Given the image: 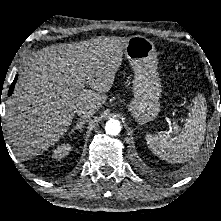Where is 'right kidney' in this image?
Masks as SVG:
<instances>
[{
	"instance_id": "right-kidney-1",
	"label": "right kidney",
	"mask_w": 221,
	"mask_h": 221,
	"mask_svg": "<svg viewBox=\"0 0 221 221\" xmlns=\"http://www.w3.org/2000/svg\"><path fill=\"white\" fill-rule=\"evenodd\" d=\"M71 146L69 144L59 145L56 149L53 150L52 157L56 159H61L69 154Z\"/></svg>"
}]
</instances>
